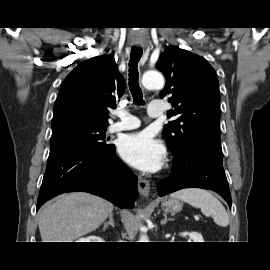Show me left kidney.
<instances>
[{
    "label": "left kidney",
    "instance_id": "obj_1",
    "mask_svg": "<svg viewBox=\"0 0 270 270\" xmlns=\"http://www.w3.org/2000/svg\"><path fill=\"white\" fill-rule=\"evenodd\" d=\"M181 236H189V238L191 240H193V242H204L203 237L200 233L197 232H182L180 233Z\"/></svg>",
    "mask_w": 270,
    "mask_h": 270
}]
</instances>
